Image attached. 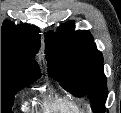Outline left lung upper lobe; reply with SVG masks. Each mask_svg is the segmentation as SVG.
<instances>
[{
	"mask_svg": "<svg viewBox=\"0 0 121 113\" xmlns=\"http://www.w3.org/2000/svg\"><path fill=\"white\" fill-rule=\"evenodd\" d=\"M48 73L72 94L87 96L95 113H104L107 98L103 56L97 50L91 34L74 31L67 22L58 33H46Z\"/></svg>",
	"mask_w": 121,
	"mask_h": 113,
	"instance_id": "1",
	"label": "left lung upper lobe"
}]
</instances>
